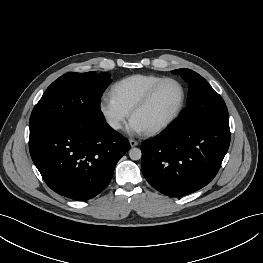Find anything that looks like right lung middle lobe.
<instances>
[{
    "instance_id": "obj_1",
    "label": "right lung middle lobe",
    "mask_w": 263,
    "mask_h": 263,
    "mask_svg": "<svg viewBox=\"0 0 263 263\" xmlns=\"http://www.w3.org/2000/svg\"><path fill=\"white\" fill-rule=\"evenodd\" d=\"M109 73H66L55 80L34 107L30 121V139L64 124L79 120H101L100 97L110 84Z\"/></svg>"
}]
</instances>
